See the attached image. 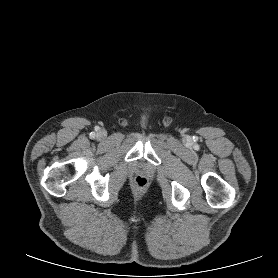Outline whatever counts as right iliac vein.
I'll use <instances>...</instances> for the list:
<instances>
[{"mask_svg":"<svg viewBox=\"0 0 278 278\" xmlns=\"http://www.w3.org/2000/svg\"><path fill=\"white\" fill-rule=\"evenodd\" d=\"M105 132L104 131H100L99 133H98V136L99 137H101V138H103V137H105Z\"/></svg>","mask_w":278,"mask_h":278,"instance_id":"obj_1","label":"right iliac vein"}]
</instances>
